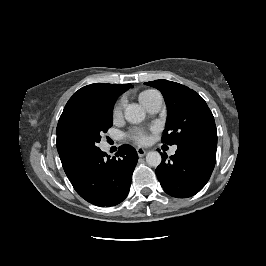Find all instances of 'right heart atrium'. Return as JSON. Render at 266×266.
<instances>
[{
  "label": "right heart atrium",
  "instance_id": "d8ad5b80",
  "mask_svg": "<svg viewBox=\"0 0 266 266\" xmlns=\"http://www.w3.org/2000/svg\"><path fill=\"white\" fill-rule=\"evenodd\" d=\"M123 109V102H119L114 108V116H120Z\"/></svg>",
  "mask_w": 266,
  "mask_h": 266
}]
</instances>
